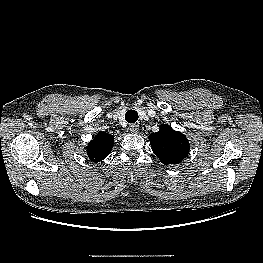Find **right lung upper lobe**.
I'll use <instances>...</instances> for the list:
<instances>
[{
    "instance_id": "right-lung-upper-lobe-1",
    "label": "right lung upper lobe",
    "mask_w": 263,
    "mask_h": 263,
    "mask_svg": "<svg viewBox=\"0 0 263 263\" xmlns=\"http://www.w3.org/2000/svg\"><path fill=\"white\" fill-rule=\"evenodd\" d=\"M114 136L99 132L97 136L88 144L87 154L93 162L104 160L111 152Z\"/></svg>"
}]
</instances>
